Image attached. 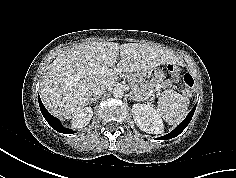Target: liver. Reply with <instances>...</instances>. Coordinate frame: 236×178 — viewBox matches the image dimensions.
<instances>
[{"mask_svg":"<svg viewBox=\"0 0 236 178\" xmlns=\"http://www.w3.org/2000/svg\"><path fill=\"white\" fill-rule=\"evenodd\" d=\"M176 62L170 51L146 44H80L58 55L46 68L40 96L51 114L71 119L88 105L94 86L111 82L120 73L141 72ZM103 66L111 67L114 74L100 73Z\"/></svg>","mask_w":236,"mask_h":178,"instance_id":"6515ba94","label":"liver"}]
</instances>
